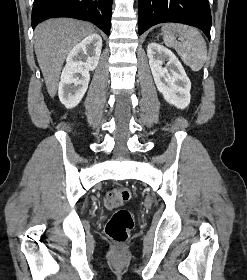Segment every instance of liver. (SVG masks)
Here are the masks:
<instances>
[{"instance_id":"1","label":"liver","mask_w":247,"mask_h":280,"mask_svg":"<svg viewBox=\"0 0 247 280\" xmlns=\"http://www.w3.org/2000/svg\"><path fill=\"white\" fill-rule=\"evenodd\" d=\"M93 32L94 27L90 23L69 18L50 19L36 27L35 53L51 97L56 95L66 56L75 45Z\"/></svg>"}]
</instances>
